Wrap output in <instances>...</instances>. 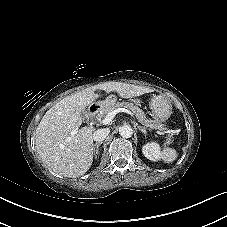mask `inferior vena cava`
Returning a JSON list of instances; mask_svg holds the SVG:
<instances>
[{"mask_svg": "<svg viewBox=\"0 0 227 227\" xmlns=\"http://www.w3.org/2000/svg\"><path fill=\"white\" fill-rule=\"evenodd\" d=\"M110 133L109 128L97 129L93 133V140L96 142H102Z\"/></svg>", "mask_w": 227, "mask_h": 227, "instance_id": "1", "label": "inferior vena cava"}]
</instances>
